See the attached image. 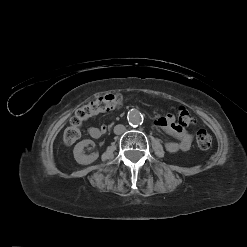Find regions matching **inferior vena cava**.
I'll use <instances>...</instances> for the list:
<instances>
[{
	"label": "inferior vena cava",
	"mask_w": 247,
	"mask_h": 247,
	"mask_svg": "<svg viewBox=\"0 0 247 247\" xmlns=\"http://www.w3.org/2000/svg\"><path fill=\"white\" fill-rule=\"evenodd\" d=\"M126 131V127L122 124H118L114 127V133L116 135H121Z\"/></svg>",
	"instance_id": "1"
}]
</instances>
